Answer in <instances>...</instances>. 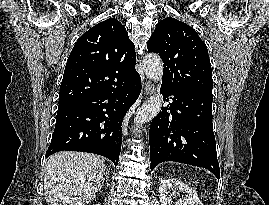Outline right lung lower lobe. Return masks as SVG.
Returning <instances> with one entry per match:
<instances>
[{"label": "right lung lower lobe", "mask_w": 269, "mask_h": 205, "mask_svg": "<svg viewBox=\"0 0 269 205\" xmlns=\"http://www.w3.org/2000/svg\"><path fill=\"white\" fill-rule=\"evenodd\" d=\"M141 92L137 71L108 92L59 103L56 125L46 158L67 150L102 155L118 165L122 121Z\"/></svg>", "instance_id": "98d812e1"}]
</instances>
